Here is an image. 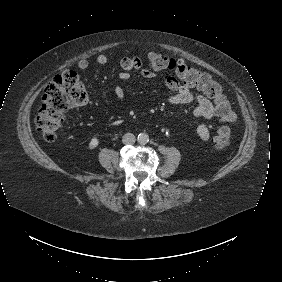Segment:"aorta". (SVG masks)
I'll return each instance as SVG.
<instances>
[{
	"label": "aorta",
	"instance_id": "aorta-1",
	"mask_svg": "<svg viewBox=\"0 0 282 282\" xmlns=\"http://www.w3.org/2000/svg\"><path fill=\"white\" fill-rule=\"evenodd\" d=\"M137 142L140 145H146L149 142V135L145 132H141L137 136Z\"/></svg>",
	"mask_w": 282,
	"mask_h": 282
}]
</instances>
